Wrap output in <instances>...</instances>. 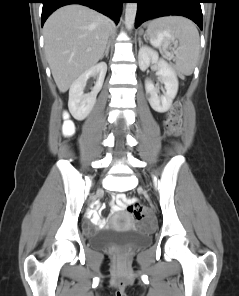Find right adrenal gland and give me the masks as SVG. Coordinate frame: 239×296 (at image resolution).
Segmentation results:
<instances>
[{
	"label": "right adrenal gland",
	"mask_w": 239,
	"mask_h": 296,
	"mask_svg": "<svg viewBox=\"0 0 239 296\" xmlns=\"http://www.w3.org/2000/svg\"><path fill=\"white\" fill-rule=\"evenodd\" d=\"M109 50H110V44L107 45L106 50H105V53L102 55L101 59H103L104 56L108 57Z\"/></svg>",
	"instance_id": "obj_1"
}]
</instances>
